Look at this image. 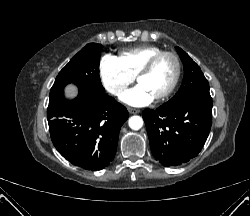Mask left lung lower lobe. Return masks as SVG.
I'll return each mask as SVG.
<instances>
[{
  "instance_id": "left-lung-lower-lobe-1",
  "label": "left lung lower lobe",
  "mask_w": 250,
  "mask_h": 216,
  "mask_svg": "<svg viewBox=\"0 0 250 216\" xmlns=\"http://www.w3.org/2000/svg\"><path fill=\"white\" fill-rule=\"evenodd\" d=\"M151 152L165 167L188 162L201 151L212 124V102L194 99L145 109Z\"/></svg>"
}]
</instances>
